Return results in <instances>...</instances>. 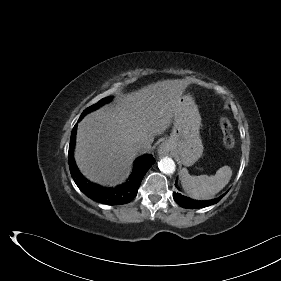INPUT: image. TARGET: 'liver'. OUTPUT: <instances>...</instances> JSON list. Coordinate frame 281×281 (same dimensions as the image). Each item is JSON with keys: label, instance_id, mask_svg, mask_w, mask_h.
<instances>
[{"label": "liver", "instance_id": "liver-1", "mask_svg": "<svg viewBox=\"0 0 281 281\" xmlns=\"http://www.w3.org/2000/svg\"><path fill=\"white\" fill-rule=\"evenodd\" d=\"M189 83L158 81L86 115L78 125L74 152L81 173L103 186L120 184L138 155L137 146L151 144L168 129Z\"/></svg>", "mask_w": 281, "mask_h": 281}]
</instances>
